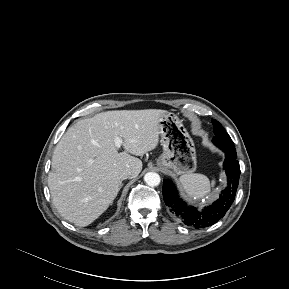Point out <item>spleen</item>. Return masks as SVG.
I'll return each instance as SVG.
<instances>
[{"label": "spleen", "instance_id": "3e777b00", "mask_svg": "<svg viewBox=\"0 0 289 289\" xmlns=\"http://www.w3.org/2000/svg\"><path fill=\"white\" fill-rule=\"evenodd\" d=\"M179 181L187 196L191 199L207 197L211 192V187L215 185L214 179L210 183L205 175L197 173L182 175Z\"/></svg>", "mask_w": 289, "mask_h": 289}]
</instances>
